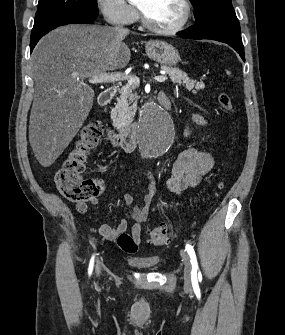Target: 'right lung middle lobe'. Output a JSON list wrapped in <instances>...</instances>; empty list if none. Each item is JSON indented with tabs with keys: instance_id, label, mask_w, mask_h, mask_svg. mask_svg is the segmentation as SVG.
<instances>
[{
	"instance_id": "dd1d6c3e",
	"label": "right lung middle lobe",
	"mask_w": 285,
	"mask_h": 335,
	"mask_svg": "<svg viewBox=\"0 0 285 335\" xmlns=\"http://www.w3.org/2000/svg\"><path fill=\"white\" fill-rule=\"evenodd\" d=\"M66 11L99 14L95 0H39L35 21Z\"/></svg>"
}]
</instances>
